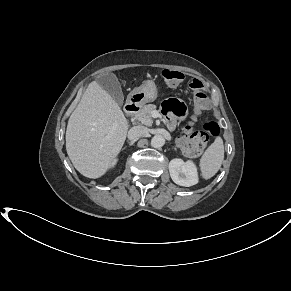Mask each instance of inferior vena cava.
Listing matches in <instances>:
<instances>
[{
	"label": "inferior vena cava",
	"instance_id": "602c4592",
	"mask_svg": "<svg viewBox=\"0 0 291 291\" xmlns=\"http://www.w3.org/2000/svg\"><path fill=\"white\" fill-rule=\"evenodd\" d=\"M148 133V129L144 126H134L129 131L130 138H139L145 136Z\"/></svg>",
	"mask_w": 291,
	"mask_h": 291
}]
</instances>
